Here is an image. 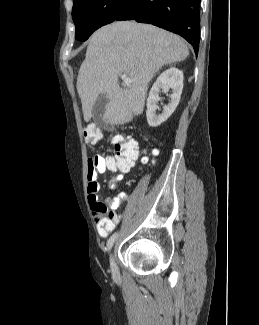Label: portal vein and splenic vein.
Returning <instances> with one entry per match:
<instances>
[{
  "label": "portal vein and splenic vein",
  "mask_w": 259,
  "mask_h": 325,
  "mask_svg": "<svg viewBox=\"0 0 259 325\" xmlns=\"http://www.w3.org/2000/svg\"><path fill=\"white\" fill-rule=\"evenodd\" d=\"M121 79L125 84H129L133 81L129 77H127V75H121Z\"/></svg>",
  "instance_id": "1"
}]
</instances>
